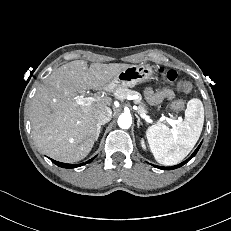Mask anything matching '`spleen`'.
Instances as JSON below:
<instances>
[{"mask_svg": "<svg viewBox=\"0 0 231 231\" xmlns=\"http://www.w3.org/2000/svg\"><path fill=\"white\" fill-rule=\"evenodd\" d=\"M204 123V107L201 100L188 101L185 118L176 128L164 124L150 126L146 137L156 161L171 166L181 162L197 143Z\"/></svg>", "mask_w": 231, "mask_h": 231, "instance_id": "obj_1", "label": "spleen"}]
</instances>
